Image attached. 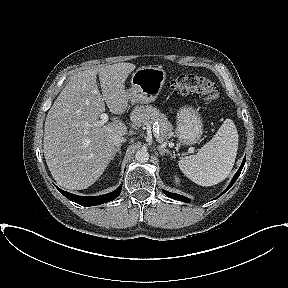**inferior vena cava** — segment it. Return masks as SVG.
Here are the masks:
<instances>
[{
	"mask_svg": "<svg viewBox=\"0 0 288 288\" xmlns=\"http://www.w3.org/2000/svg\"><path fill=\"white\" fill-rule=\"evenodd\" d=\"M113 141H114V144H115L116 146H119L121 143L125 142L126 139H125L124 137H122V136H115V137L113 138Z\"/></svg>",
	"mask_w": 288,
	"mask_h": 288,
	"instance_id": "inferior-vena-cava-1",
	"label": "inferior vena cava"
}]
</instances>
